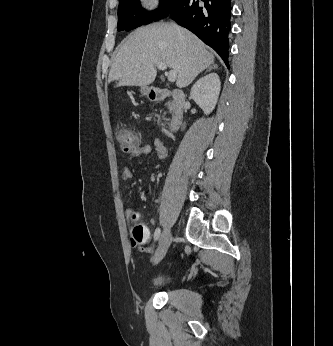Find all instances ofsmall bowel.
Here are the masks:
<instances>
[{"instance_id":"1","label":"small bowel","mask_w":333,"mask_h":346,"mask_svg":"<svg viewBox=\"0 0 333 346\" xmlns=\"http://www.w3.org/2000/svg\"><path fill=\"white\" fill-rule=\"evenodd\" d=\"M155 148L156 154L158 159L163 160L167 157L168 150L164 143H162L160 140H154L152 144H144L138 146L134 151L131 152L130 156L132 158H140L147 156L151 153L152 149ZM122 177L124 180L129 181L133 179V171L130 167L124 168L122 172ZM132 211L129 210L127 212L129 220L132 218ZM148 239V238H147ZM130 246L134 247V250H138L140 254H143L144 252L150 251V246H145L144 243H140L139 237L137 235H132L130 237Z\"/></svg>"}]
</instances>
